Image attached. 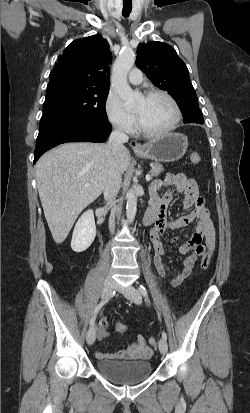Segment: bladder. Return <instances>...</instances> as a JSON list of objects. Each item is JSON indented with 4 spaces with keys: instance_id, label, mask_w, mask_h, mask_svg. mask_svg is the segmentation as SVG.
I'll list each match as a JSON object with an SVG mask.
<instances>
[{
    "instance_id": "1",
    "label": "bladder",
    "mask_w": 250,
    "mask_h": 413,
    "mask_svg": "<svg viewBox=\"0 0 250 413\" xmlns=\"http://www.w3.org/2000/svg\"><path fill=\"white\" fill-rule=\"evenodd\" d=\"M96 367L101 374L121 385L139 383L152 372L151 363L147 360L101 359L96 362Z\"/></svg>"
}]
</instances>
